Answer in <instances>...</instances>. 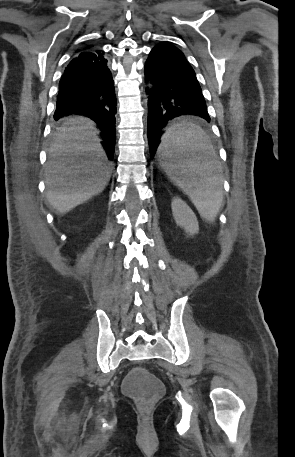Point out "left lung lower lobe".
I'll return each mask as SVG.
<instances>
[{
	"instance_id": "obj_1",
	"label": "left lung lower lobe",
	"mask_w": 295,
	"mask_h": 457,
	"mask_svg": "<svg viewBox=\"0 0 295 457\" xmlns=\"http://www.w3.org/2000/svg\"><path fill=\"white\" fill-rule=\"evenodd\" d=\"M144 70L153 85L148 100V141L153 159L169 120L195 115L210 122V117L196 74L176 46L168 42L154 46Z\"/></svg>"
}]
</instances>
